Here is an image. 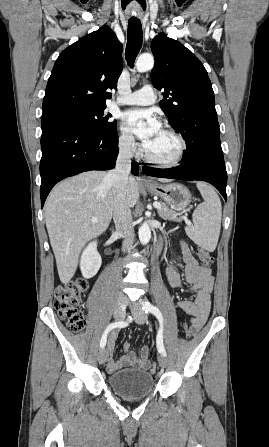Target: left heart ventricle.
Wrapping results in <instances>:
<instances>
[{"label":"left heart ventricle","instance_id":"obj_1","mask_svg":"<svg viewBox=\"0 0 269 447\" xmlns=\"http://www.w3.org/2000/svg\"><path fill=\"white\" fill-rule=\"evenodd\" d=\"M145 147L149 155L159 161H171L176 156L180 142L167 131L160 127L154 135L145 142Z\"/></svg>","mask_w":269,"mask_h":447}]
</instances>
